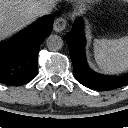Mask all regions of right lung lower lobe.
I'll return each instance as SVG.
<instances>
[{"label":"right lung lower lobe","instance_id":"obj_1","mask_svg":"<svg viewBox=\"0 0 128 128\" xmlns=\"http://www.w3.org/2000/svg\"><path fill=\"white\" fill-rule=\"evenodd\" d=\"M54 15L40 19L25 31L15 43L0 47V83L20 86L38 72V50L52 30Z\"/></svg>","mask_w":128,"mask_h":128}]
</instances>
